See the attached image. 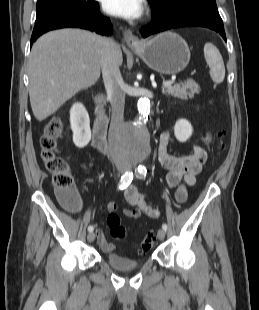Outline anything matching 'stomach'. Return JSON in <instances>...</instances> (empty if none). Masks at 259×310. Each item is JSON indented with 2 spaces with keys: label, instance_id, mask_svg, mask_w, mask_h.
Returning a JSON list of instances; mask_svg holds the SVG:
<instances>
[{
  "label": "stomach",
  "instance_id": "obj_1",
  "mask_svg": "<svg viewBox=\"0 0 259 310\" xmlns=\"http://www.w3.org/2000/svg\"><path fill=\"white\" fill-rule=\"evenodd\" d=\"M132 49L148 67L161 74H177L183 71L190 61L187 43L172 32L161 33Z\"/></svg>",
  "mask_w": 259,
  "mask_h": 310
}]
</instances>
